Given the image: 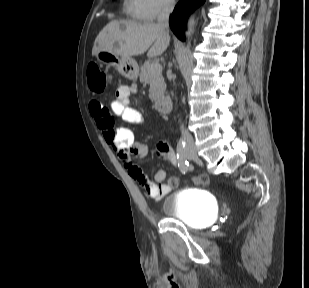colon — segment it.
Returning a JSON list of instances; mask_svg holds the SVG:
<instances>
[{
	"label": "colon",
	"instance_id": "1",
	"mask_svg": "<svg viewBox=\"0 0 309 288\" xmlns=\"http://www.w3.org/2000/svg\"><path fill=\"white\" fill-rule=\"evenodd\" d=\"M110 81L111 77L108 73L99 67L95 66L89 70V86L93 91L101 92ZM169 183L173 187H176L179 185V179L176 177H171ZM193 183L197 186H207L209 184V178L207 175H200L193 179Z\"/></svg>",
	"mask_w": 309,
	"mask_h": 288
}]
</instances>
